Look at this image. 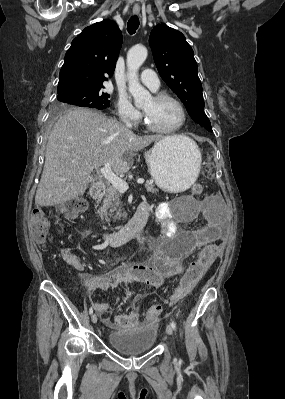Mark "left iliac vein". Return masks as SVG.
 <instances>
[{"label":"left iliac vein","mask_w":285,"mask_h":399,"mask_svg":"<svg viewBox=\"0 0 285 399\" xmlns=\"http://www.w3.org/2000/svg\"><path fill=\"white\" fill-rule=\"evenodd\" d=\"M166 332H167V334L172 335L173 334V328L170 325H167L166 326Z\"/></svg>","instance_id":"left-iliac-vein-1"}]
</instances>
